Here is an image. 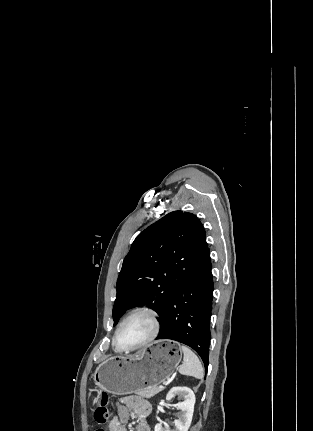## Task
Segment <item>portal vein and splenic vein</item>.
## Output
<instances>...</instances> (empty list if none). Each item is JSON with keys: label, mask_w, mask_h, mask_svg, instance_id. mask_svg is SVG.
Segmentation results:
<instances>
[{"label": "portal vein and splenic vein", "mask_w": 313, "mask_h": 431, "mask_svg": "<svg viewBox=\"0 0 313 431\" xmlns=\"http://www.w3.org/2000/svg\"><path fill=\"white\" fill-rule=\"evenodd\" d=\"M159 388H160V389H163V388H164V386L160 385V386H159Z\"/></svg>", "instance_id": "obj_1"}]
</instances>
